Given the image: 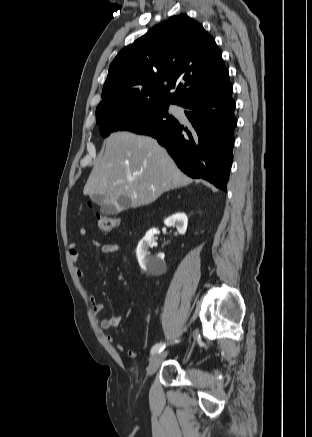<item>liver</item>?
I'll return each instance as SVG.
<instances>
[{
    "label": "liver",
    "mask_w": 312,
    "mask_h": 437,
    "mask_svg": "<svg viewBox=\"0 0 312 437\" xmlns=\"http://www.w3.org/2000/svg\"><path fill=\"white\" fill-rule=\"evenodd\" d=\"M104 143V155L94 165L84 195L100 194L115 204L125 197L132 208H137L192 182L150 136L115 132Z\"/></svg>",
    "instance_id": "1"
}]
</instances>
